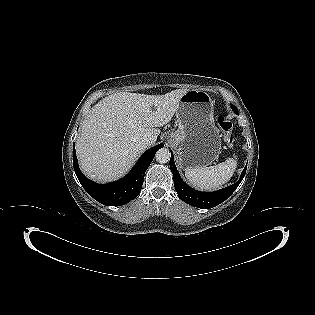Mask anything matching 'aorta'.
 Returning a JSON list of instances; mask_svg holds the SVG:
<instances>
[{
  "mask_svg": "<svg viewBox=\"0 0 315 315\" xmlns=\"http://www.w3.org/2000/svg\"><path fill=\"white\" fill-rule=\"evenodd\" d=\"M156 161L159 163H167L170 160V151L166 148H161L156 153Z\"/></svg>",
  "mask_w": 315,
  "mask_h": 315,
  "instance_id": "aorta-1",
  "label": "aorta"
}]
</instances>
